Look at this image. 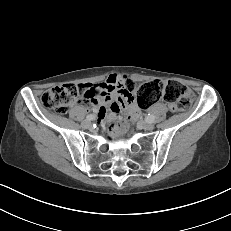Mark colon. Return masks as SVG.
<instances>
[{"instance_id": "obj_1", "label": "colon", "mask_w": 231, "mask_h": 231, "mask_svg": "<svg viewBox=\"0 0 231 231\" xmlns=\"http://www.w3.org/2000/svg\"><path fill=\"white\" fill-rule=\"evenodd\" d=\"M124 89L135 93L139 108H147L159 100L170 105L172 111L188 109L194 99L193 93L176 81L154 80L136 86L131 81L124 83ZM89 91L83 85L64 84L45 91L41 103L57 114H65L76 101H85ZM138 111H132V119H136Z\"/></svg>"}]
</instances>
